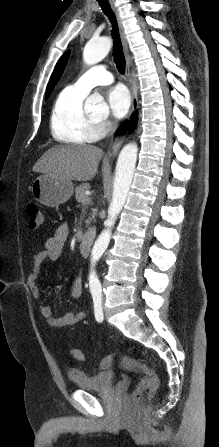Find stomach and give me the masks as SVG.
<instances>
[{
	"label": "stomach",
	"instance_id": "stomach-1",
	"mask_svg": "<svg viewBox=\"0 0 219 447\" xmlns=\"http://www.w3.org/2000/svg\"><path fill=\"white\" fill-rule=\"evenodd\" d=\"M74 191L72 181L60 179L52 174L37 177L31 186L34 199L48 207H55L71 198Z\"/></svg>",
	"mask_w": 219,
	"mask_h": 447
}]
</instances>
